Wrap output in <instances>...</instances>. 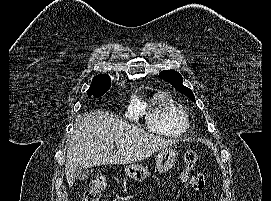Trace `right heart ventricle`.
<instances>
[{
  "mask_svg": "<svg viewBox=\"0 0 271 201\" xmlns=\"http://www.w3.org/2000/svg\"><path fill=\"white\" fill-rule=\"evenodd\" d=\"M147 123L150 131L170 137L183 134L189 127L186 112L162 94L153 97Z\"/></svg>",
  "mask_w": 271,
  "mask_h": 201,
  "instance_id": "obj_1",
  "label": "right heart ventricle"
}]
</instances>
